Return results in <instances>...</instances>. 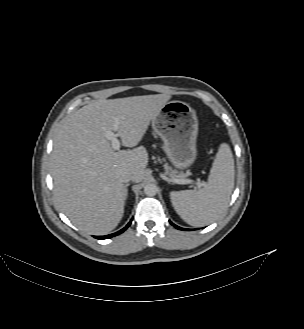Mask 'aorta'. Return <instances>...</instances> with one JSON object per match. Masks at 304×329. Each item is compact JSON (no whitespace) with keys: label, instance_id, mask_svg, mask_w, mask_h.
<instances>
[{"label":"aorta","instance_id":"aorta-1","mask_svg":"<svg viewBox=\"0 0 304 329\" xmlns=\"http://www.w3.org/2000/svg\"><path fill=\"white\" fill-rule=\"evenodd\" d=\"M157 191L158 187L153 183L146 184L144 187V193L150 197L155 196L157 194Z\"/></svg>","mask_w":304,"mask_h":329}]
</instances>
